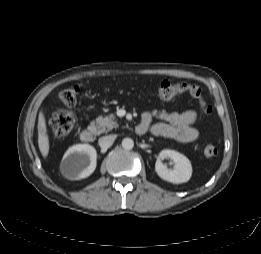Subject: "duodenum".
Wrapping results in <instances>:
<instances>
[{
  "label": "duodenum",
  "mask_w": 261,
  "mask_h": 254,
  "mask_svg": "<svg viewBox=\"0 0 261 254\" xmlns=\"http://www.w3.org/2000/svg\"><path fill=\"white\" fill-rule=\"evenodd\" d=\"M142 128L143 127L140 125L137 126L136 131L138 134H142L141 133ZM80 138L82 141L86 143L92 142L95 139V131L92 128H86L81 131Z\"/></svg>",
  "instance_id": "410a0bca"
}]
</instances>
